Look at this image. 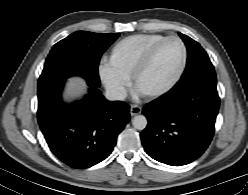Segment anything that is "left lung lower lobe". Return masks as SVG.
Here are the masks:
<instances>
[{"label":"left lung lower lobe","instance_id":"1","mask_svg":"<svg viewBox=\"0 0 248 195\" xmlns=\"http://www.w3.org/2000/svg\"><path fill=\"white\" fill-rule=\"evenodd\" d=\"M216 82L175 88L142 110L148 119L140 137L145 152L172 166L188 164L209 146L219 110Z\"/></svg>","mask_w":248,"mask_h":195}]
</instances>
